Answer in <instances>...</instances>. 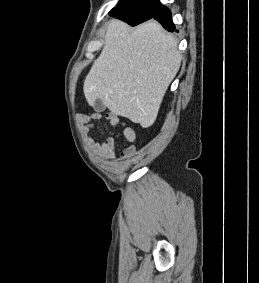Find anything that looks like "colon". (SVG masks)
I'll return each mask as SVG.
<instances>
[{
    "label": "colon",
    "mask_w": 259,
    "mask_h": 283,
    "mask_svg": "<svg viewBox=\"0 0 259 283\" xmlns=\"http://www.w3.org/2000/svg\"><path fill=\"white\" fill-rule=\"evenodd\" d=\"M133 153V147H128L125 151L126 156H130Z\"/></svg>",
    "instance_id": "1"
}]
</instances>
